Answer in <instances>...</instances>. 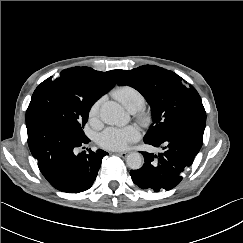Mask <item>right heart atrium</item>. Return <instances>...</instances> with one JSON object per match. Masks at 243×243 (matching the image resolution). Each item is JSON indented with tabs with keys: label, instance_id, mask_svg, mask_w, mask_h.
<instances>
[{
	"label": "right heart atrium",
	"instance_id": "d8ad5b80",
	"mask_svg": "<svg viewBox=\"0 0 243 243\" xmlns=\"http://www.w3.org/2000/svg\"><path fill=\"white\" fill-rule=\"evenodd\" d=\"M101 106V100H96L90 107L88 112L89 121L95 124L99 118V111Z\"/></svg>",
	"mask_w": 243,
	"mask_h": 243
}]
</instances>
